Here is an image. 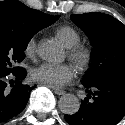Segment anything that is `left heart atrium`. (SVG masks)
Here are the masks:
<instances>
[{"label":"left heart atrium","instance_id":"1","mask_svg":"<svg viewBox=\"0 0 125 125\" xmlns=\"http://www.w3.org/2000/svg\"><path fill=\"white\" fill-rule=\"evenodd\" d=\"M75 75L70 63H43L35 67L31 76L36 82L54 88H59L70 82Z\"/></svg>","mask_w":125,"mask_h":125}]
</instances>
